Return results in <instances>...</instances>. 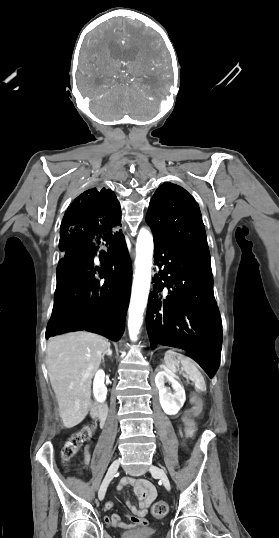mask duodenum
I'll return each mask as SVG.
<instances>
[{
  "label": "duodenum",
  "instance_id": "obj_1",
  "mask_svg": "<svg viewBox=\"0 0 279 538\" xmlns=\"http://www.w3.org/2000/svg\"><path fill=\"white\" fill-rule=\"evenodd\" d=\"M107 402H104L103 400H99L98 402H92L90 405L91 410V417L94 419V423L96 424V427L98 429H102L105 427L106 418L108 417V414L106 413L107 409ZM99 414H101V418L99 417Z\"/></svg>",
  "mask_w": 279,
  "mask_h": 538
}]
</instances>
